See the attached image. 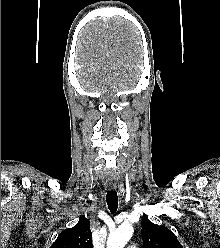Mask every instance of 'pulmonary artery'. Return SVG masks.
<instances>
[{"mask_svg":"<svg viewBox=\"0 0 220 248\" xmlns=\"http://www.w3.org/2000/svg\"><path fill=\"white\" fill-rule=\"evenodd\" d=\"M128 248H137L136 246H129Z\"/></svg>","mask_w":220,"mask_h":248,"instance_id":"e3ab8cb5","label":"pulmonary artery"}]
</instances>
